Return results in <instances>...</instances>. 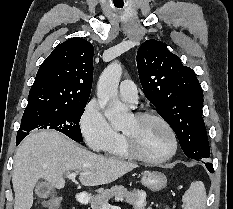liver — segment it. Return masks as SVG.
I'll use <instances>...</instances> for the list:
<instances>
[{
  "mask_svg": "<svg viewBox=\"0 0 233 209\" xmlns=\"http://www.w3.org/2000/svg\"><path fill=\"white\" fill-rule=\"evenodd\" d=\"M137 167L131 162L88 151L59 132H34L25 138L14 155V209L32 207L33 189L40 179L61 189L65 186L63 175L76 171L82 185L99 186L111 183Z\"/></svg>",
  "mask_w": 233,
  "mask_h": 209,
  "instance_id": "obj_1",
  "label": "liver"
}]
</instances>
